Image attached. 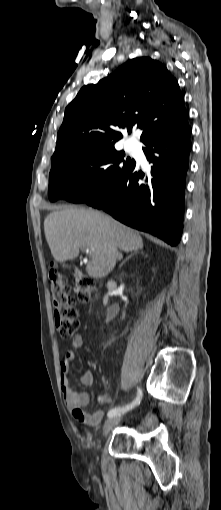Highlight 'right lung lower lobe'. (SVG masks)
I'll return each mask as SVG.
<instances>
[{
	"mask_svg": "<svg viewBox=\"0 0 221 510\" xmlns=\"http://www.w3.org/2000/svg\"><path fill=\"white\" fill-rule=\"evenodd\" d=\"M191 127L152 136L143 143L149 174L135 166L111 188L86 203L120 222L176 246L181 238Z\"/></svg>",
	"mask_w": 221,
	"mask_h": 510,
	"instance_id": "1",
	"label": "right lung lower lobe"
}]
</instances>
